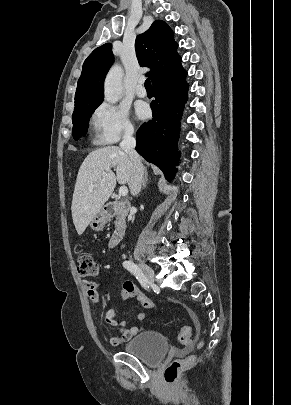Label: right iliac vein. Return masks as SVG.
I'll return each instance as SVG.
<instances>
[{
  "instance_id": "63e3f726",
  "label": "right iliac vein",
  "mask_w": 291,
  "mask_h": 405,
  "mask_svg": "<svg viewBox=\"0 0 291 405\" xmlns=\"http://www.w3.org/2000/svg\"><path fill=\"white\" fill-rule=\"evenodd\" d=\"M139 267H140L141 271L143 272V274L145 275V277L150 282H154L155 275H154V271L152 270V268H150L148 265H146L144 263H139Z\"/></svg>"
}]
</instances>
